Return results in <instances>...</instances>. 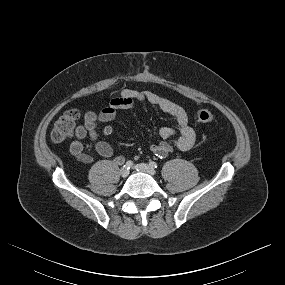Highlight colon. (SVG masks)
Segmentation results:
<instances>
[{
    "mask_svg": "<svg viewBox=\"0 0 285 285\" xmlns=\"http://www.w3.org/2000/svg\"><path fill=\"white\" fill-rule=\"evenodd\" d=\"M79 118L80 113L78 110L70 109L66 111L54 124L51 131L52 141L60 143L73 136ZM212 118V113L205 108L198 109L194 115V119L198 123H208Z\"/></svg>",
    "mask_w": 285,
    "mask_h": 285,
    "instance_id": "5ec220e1",
    "label": "colon"
}]
</instances>
